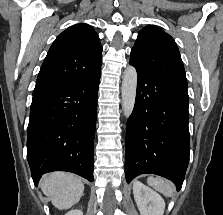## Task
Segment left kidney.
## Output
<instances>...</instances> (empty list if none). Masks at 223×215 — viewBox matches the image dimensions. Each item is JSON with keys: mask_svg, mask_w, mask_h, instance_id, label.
Returning a JSON list of instances; mask_svg holds the SVG:
<instances>
[{"mask_svg": "<svg viewBox=\"0 0 223 215\" xmlns=\"http://www.w3.org/2000/svg\"><path fill=\"white\" fill-rule=\"evenodd\" d=\"M133 193L141 215H163L165 201L157 191L141 181H134Z\"/></svg>", "mask_w": 223, "mask_h": 215, "instance_id": "left-kidney-1", "label": "left kidney"}]
</instances>
